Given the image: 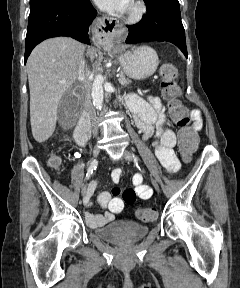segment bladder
<instances>
[{"label":"bladder","mask_w":240,"mask_h":288,"mask_svg":"<svg viewBox=\"0 0 240 288\" xmlns=\"http://www.w3.org/2000/svg\"><path fill=\"white\" fill-rule=\"evenodd\" d=\"M148 231L149 228L143 224L112 222L98 228L95 232L105 240L124 243L140 240L146 236Z\"/></svg>","instance_id":"31cf9c89"}]
</instances>
